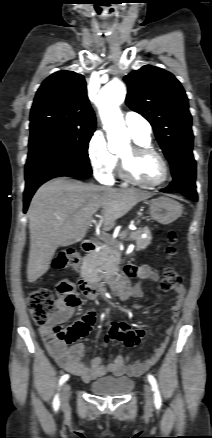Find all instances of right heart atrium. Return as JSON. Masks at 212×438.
Returning a JSON list of instances; mask_svg holds the SVG:
<instances>
[{
	"label": "right heart atrium",
	"instance_id": "d8ad5b80",
	"mask_svg": "<svg viewBox=\"0 0 212 438\" xmlns=\"http://www.w3.org/2000/svg\"><path fill=\"white\" fill-rule=\"evenodd\" d=\"M87 158L94 176L101 182H109L117 165V158L108 149L102 132L96 131L87 145Z\"/></svg>",
	"mask_w": 212,
	"mask_h": 438
}]
</instances>
